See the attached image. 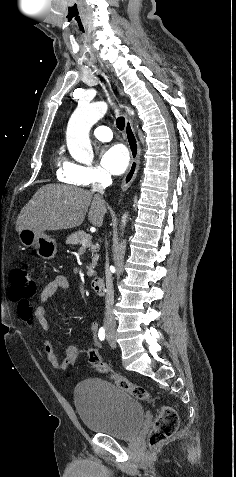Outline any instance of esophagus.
<instances>
[{
	"instance_id": "1",
	"label": "esophagus",
	"mask_w": 236,
	"mask_h": 477,
	"mask_svg": "<svg viewBox=\"0 0 236 477\" xmlns=\"http://www.w3.org/2000/svg\"><path fill=\"white\" fill-rule=\"evenodd\" d=\"M120 92L122 94L121 89H120ZM125 135H126L128 147L130 150L131 162H130L128 171L125 174L121 183L122 191H125L134 181L139 169V164H140L139 142L137 140L132 122L127 116H125Z\"/></svg>"
}]
</instances>
